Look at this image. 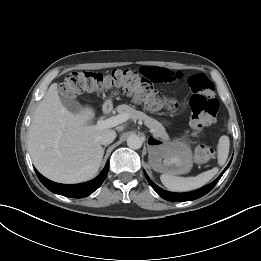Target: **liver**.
<instances>
[{
	"label": "liver",
	"mask_w": 261,
	"mask_h": 261,
	"mask_svg": "<svg viewBox=\"0 0 261 261\" xmlns=\"http://www.w3.org/2000/svg\"><path fill=\"white\" fill-rule=\"evenodd\" d=\"M94 116L90 107L77 114L69 112L60 101L57 83L50 85L28 130L29 153L42 175L67 184L96 176L104 155L99 136L108 129L89 125ZM123 129L116 127L118 131Z\"/></svg>",
	"instance_id": "liver-1"
}]
</instances>
